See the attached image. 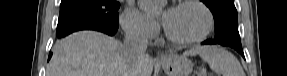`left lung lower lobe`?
I'll use <instances>...</instances> for the list:
<instances>
[{
  "mask_svg": "<svg viewBox=\"0 0 287 76\" xmlns=\"http://www.w3.org/2000/svg\"><path fill=\"white\" fill-rule=\"evenodd\" d=\"M218 42L216 40H206L205 42H203L202 44H217ZM219 44V43H218ZM224 46H228V45H224ZM229 47L234 48L235 50H237L243 57V50H242V46L241 45H230Z\"/></svg>",
  "mask_w": 287,
  "mask_h": 76,
  "instance_id": "0a47b994",
  "label": "left lung lower lobe"
}]
</instances>
